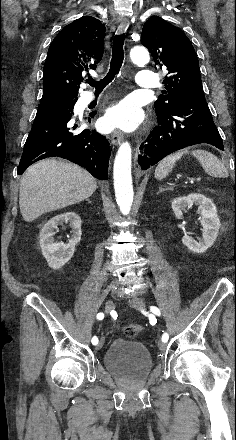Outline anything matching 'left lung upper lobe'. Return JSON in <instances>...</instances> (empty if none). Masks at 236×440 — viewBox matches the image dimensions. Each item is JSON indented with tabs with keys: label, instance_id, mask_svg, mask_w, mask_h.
Segmentation results:
<instances>
[{
	"label": "left lung upper lobe",
	"instance_id": "1",
	"mask_svg": "<svg viewBox=\"0 0 236 440\" xmlns=\"http://www.w3.org/2000/svg\"><path fill=\"white\" fill-rule=\"evenodd\" d=\"M141 43L152 54L155 67L167 72L163 95L155 101L157 116L170 113L184 97L204 94L197 54L178 27L152 16L143 26Z\"/></svg>",
	"mask_w": 236,
	"mask_h": 440
}]
</instances>
